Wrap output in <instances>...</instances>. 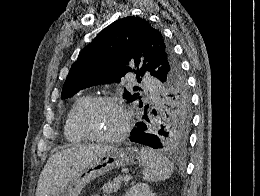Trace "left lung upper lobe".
Masks as SVG:
<instances>
[{"mask_svg":"<svg viewBox=\"0 0 260 196\" xmlns=\"http://www.w3.org/2000/svg\"><path fill=\"white\" fill-rule=\"evenodd\" d=\"M129 72L136 73L137 78L149 72L161 81L160 99L153 110L145 107L144 122L141 123L148 133L159 137V148L183 151L191 124L186 80L172 48L161 32L145 19L128 16L103 29L73 63L63 86L62 98L97 84L120 81ZM133 90L140 89L134 87ZM124 99L135 102L141 97L139 93L125 90Z\"/></svg>","mask_w":260,"mask_h":196,"instance_id":"obj_1","label":"left lung upper lobe"}]
</instances>
